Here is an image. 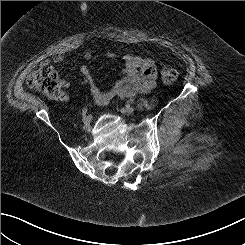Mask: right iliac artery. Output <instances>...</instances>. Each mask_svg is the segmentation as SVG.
<instances>
[{
	"label": "right iliac artery",
	"mask_w": 245,
	"mask_h": 245,
	"mask_svg": "<svg viewBox=\"0 0 245 245\" xmlns=\"http://www.w3.org/2000/svg\"><path fill=\"white\" fill-rule=\"evenodd\" d=\"M87 112H88V109H87V108H83V109H82V115H83V116L86 115Z\"/></svg>",
	"instance_id": "82829eb1"
}]
</instances>
